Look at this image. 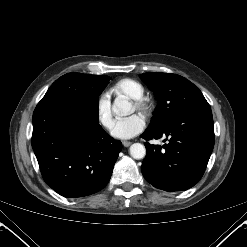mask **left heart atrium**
<instances>
[{
    "label": "left heart atrium",
    "mask_w": 247,
    "mask_h": 247,
    "mask_svg": "<svg viewBox=\"0 0 247 247\" xmlns=\"http://www.w3.org/2000/svg\"><path fill=\"white\" fill-rule=\"evenodd\" d=\"M145 128V120L139 115L118 119L114 122L111 134L118 139H130Z\"/></svg>",
    "instance_id": "obj_1"
}]
</instances>
